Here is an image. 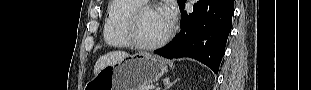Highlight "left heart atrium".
Listing matches in <instances>:
<instances>
[{
  "label": "left heart atrium",
  "instance_id": "39dd6f15",
  "mask_svg": "<svg viewBox=\"0 0 311 90\" xmlns=\"http://www.w3.org/2000/svg\"><path fill=\"white\" fill-rule=\"evenodd\" d=\"M162 14L167 21V23L171 26L174 22L175 14L173 9L171 8H166L162 11Z\"/></svg>",
  "mask_w": 311,
  "mask_h": 90
}]
</instances>
